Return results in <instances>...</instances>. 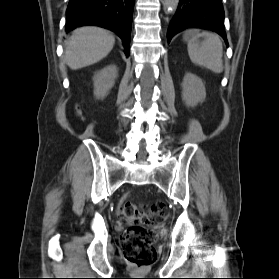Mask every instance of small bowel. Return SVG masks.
Returning <instances> with one entry per match:
<instances>
[{
	"label": "small bowel",
	"mask_w": 279,
	"mask_h": 279,
	"mask_svg": "<svg viewBox=\"0 0 279 279\" xmlns=\"http://www.w3.org/2000/svg\"><path fill=\"white\" fill-rule=\"evenodd\" d=\"M124 200H125V198H123V199L120 201L119 205H120L121 203H123V202H124Z\"/></svg>",
	"instance_id": "small-bowel-1"
}]
</instances>
